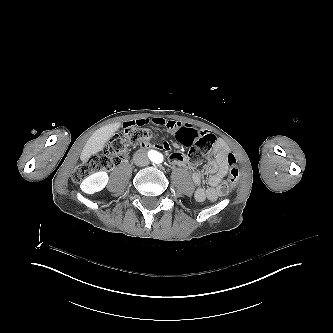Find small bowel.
<instances>
[{
	"instance_id": "1",
	"label": "small bowel",
	"mask_w": 333,
	"mask_h": 333,
	"mask_svg": "<svg viewBox=\"0 0 333 333\" xmlns=\"http://www.w3.org/2000/svg\"><path fill=\"white\" fill-rule=\"evenodd\" d=\"M138 126L154 125L158 127H165L168 130H177L181 127L199 133L198 131L191 128L189 125L184 123L170 120L164 117H144L139 118L135 121L129 122ZM200 134V133H199ZM158 148L168 151L170 145L168 143H160L157 141L147 140L140 144L142 150L150 148ZM211 159L205 165V171L210 175L207 186H203V177L200 171H195L192 174V181L196 186L195 199L198 202L205 200L216 201L220 197L224 196L225 193L222 191L224 185V178L229 171L236 167V161L233 155L230 153V149L225 141L222 139H216L213 149L210 153ZM168 161L177 166L188 169L190 167L188 157L181 151H172L168 154Z\"/></svg>"
}]
</instances>
